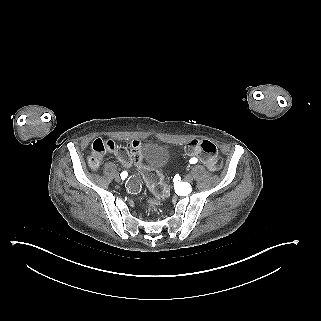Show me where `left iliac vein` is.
<instances>
[{
  "instance_id": "left-iliac-vein-1",
  "label": "left iliac vein",
  "mask_w": 321,
  "mask_h": 321,
  "mask_svg": "<svg viewBox=\"0 0 321 321\" xmlns=\"http://www.w3.org/2000/svg\"><path fill=\"white\" fill-rule=\"evenodd\" d=\"M184 181L187 182V183H191L193 181V176L192 174H187L185 177H184Z\"/></svg>"
}]
</instances>
